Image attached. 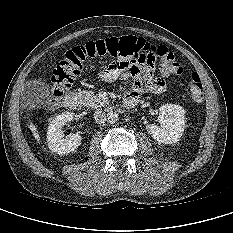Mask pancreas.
Instances as JSON below:
<instances>
[{
  "label": "pancreas",
  "instance_id": "1",
  "mask_svg": "<svg viewBox=\"0 0 233 233\" xmlns=\"http://www.w3.org/2000/svg\"><path fill=\"white\" fill-rule=\"evenodd\" d=\"M79 95L87 107L98 108L104 105V103L92 91H81Z\"/></svg>",
  "mask_w": 233,
  "mask_h": 233
}]
</instances>
